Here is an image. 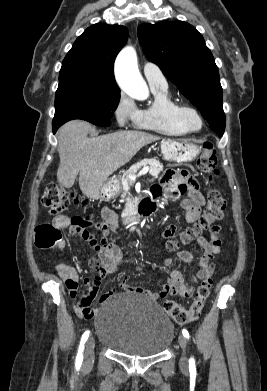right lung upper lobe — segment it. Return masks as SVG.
<instances>
[{"instance_id": "cb5924a9", "label": "right lung upper lobe", "mask_w": 267, "mask_h": 391, "mask_svg": "<svg viewBox=\"0 0 267 391\" xmlns=\"http://www.w3.org/2000/svg\"><path fill=\"white\" fill-rule=\"evenodd\" d=\"M127 39L128 30L124 26L106 24L90 26L76 39L64 58L59 78L91 75L116 84L114 61Z\"/></svg>"}]
</instances>
